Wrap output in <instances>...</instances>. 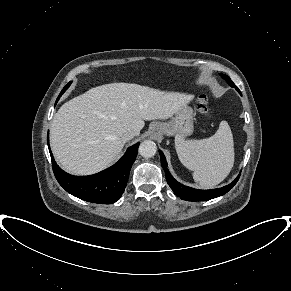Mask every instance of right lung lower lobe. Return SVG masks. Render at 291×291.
Wrapping results in <instances>:
<instances>
[{
    "label": "right lung lower lobe",
    "mask_w": 291,
    "mask_h": 291,
    "mask_svg": "<svg viewBox=\"0 0 291 291\" xmlns=\"http://www.w3.org/2000/svg\"><path fill=\"white\" fill-rule=\"evenodd\" d=\"M49 146V135L47 137ZM139 143L127 149L125 155L110 168L90 176H73L64 172L55 162L49 149L53 172L58 183L70 194L98 204H112L120 199L129 179Z\"/></svg>",
    "instance_id": "1"
}]
</instances>
